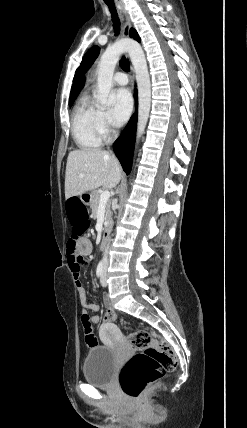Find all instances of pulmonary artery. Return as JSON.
<instances>
[{
    "label": "pulmonary artery",
    "instance_id": "obj_1",
    "mask_svg": "<svg viewBox=\"0 0 247 428\" xmlns=\"http://www.w3.org/2000/svg\"><path fill=\"white\" fill-rule=\"evenodd\" d=\"M113 81L117 85H126L128 84V77L123 72H116L113 76Z\"/></svg>",
    "mask_w": 247,
    "mask_h": 428
}]
</instances>
